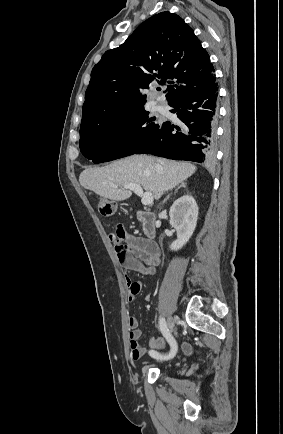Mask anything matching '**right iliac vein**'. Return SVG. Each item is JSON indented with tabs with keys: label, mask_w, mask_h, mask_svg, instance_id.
<instances>
[{
	"label": "right iliac vein",
	"mask_w": 283,
	"mask_h": 434,
	"mask_svg": "<svg viewBox=\"0 0 283 434\" xmlns=\"http://www.w3.org/2000/svg\"><path fill=\"white\" fill-rule=\"evenodd\" d=\"M174 325H175V319H174V317H172V316L168 317V319H167V327H168L169 332L173 331Z\"/></svg>",
	"instance_id": "63e3f726"
}]
</instances>
